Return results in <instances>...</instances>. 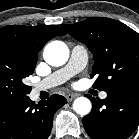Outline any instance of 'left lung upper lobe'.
Listing matches in <instances>:
<instances>
[{"mask_svg": "<svg viewBox=\"0 0 139 139\" xmlns=\"http://www.w3.org/2000/svg\"><path fill=\"white\" fill-rule=\"evenodd\" d=\"M61 27L93 53L91 77L97 76L94 86L110 93L139 81V34L127 25L110 18L91 17Z\"/></svg>", "mask_w": 139, "mask_h": 139, "instance_id": "5c2ea615", "label": "left lung upper lobe"}]
</instances>
